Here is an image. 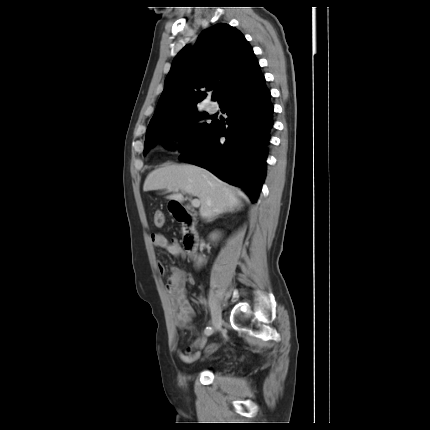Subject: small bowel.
<instances>
[{"label": "small bowel", "mask_w": 430, "mask_h": 430, "mask_svg": "<svg viewBox=\"0 0 430 430\" xmlns=\"http://www.w3.org/2000/svg\"><path fill=\"white\" fill-rule=\"evenodd\" d=\"M152 243L169 254L180 257L184 251L176 239H168L163 234L156 232L151 235ZM158 269L162 272L164 266L159 263ZM195 279L192 274L186 273L177 266L170 267V275L165 284L168 299L172 308L173 322L178 328H191L194 316V308L187 296V285H194ZM207 335L205 331L198 334L186 352L176 350L178 357L187 363L197 361L201 356V351L206 347Z\"/></svg>", "instance_id": "c3829d8e"}]
</instances>
